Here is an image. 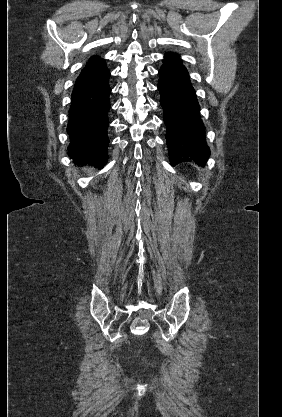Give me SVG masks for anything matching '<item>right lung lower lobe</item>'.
Wrapping results in <instances>:
<instances>
[{
    "instance_id": "obj_1",
    "label": "right lung lower lobe",
    "mask_w": 282,
    "mask_h": 417,
    "mask_svg": "<svg viewBox=\"0 0 282 417\" xmlns=\"http://www.w3.org/2000/svg\"><path fill=\"white\" fill-rule=\"evenodd\" d=\"M110 72L103 59L86 65L76 80L69 110L68 153L78 165L103 168L108 154Z\"/></svg>"
}]
</instances>
